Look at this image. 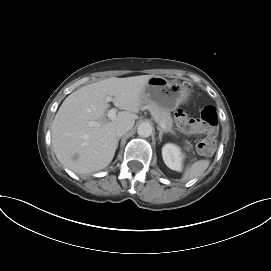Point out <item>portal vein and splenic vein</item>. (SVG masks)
<instances>
[{"label": "portal vein and splenic vein", "mask_w": 271, "mask_h": 271, "mask_svg": "<svg viewBox=\"0 0 271 271\" xmlns=\"http://www.w3.org/2000/svg\"><path fill=\"white\" fill-rule=\"evenodd\" d=\"M112 100V98L110 97V96H107L106 97V101L107 102H110ZM116 112H117V109H115V108H112V109H110L109 111H108V118L110 119V120H113L114 118H115V116H116ZM88 125L89 126H98V125H100L99 124V122H96V121H89L88 122ZM160 127L163 129V130H166V125L164 124V123H160Z\"/></svg>", "instance_id": "1"}]
</instances>
